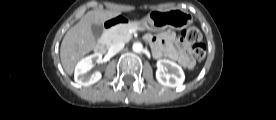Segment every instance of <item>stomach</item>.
<instances>
[{"label": "stomach", "instance_id": "stomach-1", "mask_svg": "<svg viewBox=\"0 0 276 120\" xmlns=\"http://www.w3.org/2000/svg\"><path fill=\"white\" fill-rule=\"evenodd\" d=\"M193 21L192 15L183 9H172L167 11L155 10L150 12L137 24L150 31H162L166 28L182 30L187 28Z\"/></svg>", "mask_w": 276, "mask_h": 120}]
</instances>
